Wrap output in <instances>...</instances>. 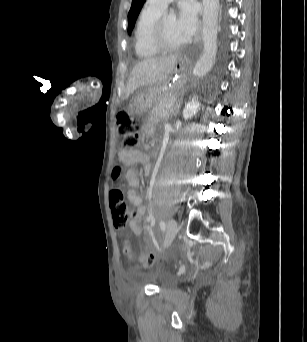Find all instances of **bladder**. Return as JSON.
Instances as JSON below:
<instances>
[{"instance_id": "bladder-1", "label": "bladder", "mask_w": 307, "mask_h": 342, "mask_svg": "<svg viewBox=\"0 0 307 342\" xmlns=\"http://www.w3.org/2000/svg\"><path fill=\"white\" fill-rule=\"evenodd\" d=\"M173 282V276L167 274L158 275L153 280V284L159 287L160 289L170 287L173 284Z\"/></svg>"}]
</instances>
